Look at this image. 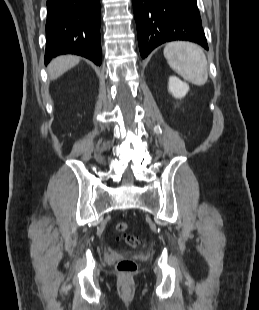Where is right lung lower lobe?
<instances>
[{
  "label": "right lung lower lobe",
  "instance_id": "98d812e1",
  "mask_svg": "<svg viewBox=\"0 0 259 310\" xmlns=\"http://www.w3.org/2000/svg\"><path fill=\"white\" fill-rule=\"evenodd\" d=\"M100 0H47L45 64L61 54L102 62Z\"/></svg>",
  "mask_w": 259,
  "mask_h": 310
}]
</instances>
